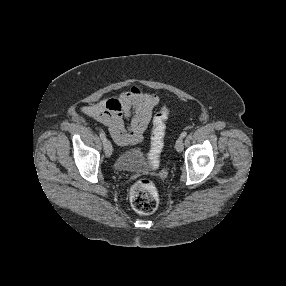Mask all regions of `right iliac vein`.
I'll return each instance as SVG.
<instances>
[{
	"instance_id": "1",
	"label": "right iliac vein",
	"mask_w": 286,
	"mask_h": 286,
	"mask_svg": "<svg viewBox=\"0 0 286 286\" xmlns=\"http://www.w3.org/2000/svg\"><path fill=\"white\" fill-rule=\"evenodd\" d=\"M104 152H105L106 157H110L112 154V145L109 140H107L105 143Z\"/></svg>"
}]
</instances>
